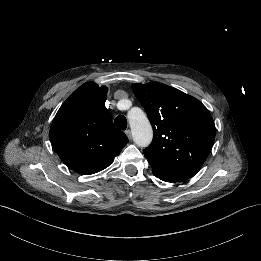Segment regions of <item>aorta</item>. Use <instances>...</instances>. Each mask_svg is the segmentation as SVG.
<instances>
[{
	"instance_id": "762f6f07",
	"label": "aorta",
	"mask_w": 261,
	"mask_h": 261,
	"mask_svg": "<svg viewBox=\"0 0 261 261\" xmlns=\"http://www.w3.org/2000/svg\"><path fill=\"white\" fill-rule=\"evenodd\" d=\"M127 119L130 124L133 141L139 147H147L153 138L152 126L139 107L131 108L127 113Z\"/></svg>"
}]
</instances>
